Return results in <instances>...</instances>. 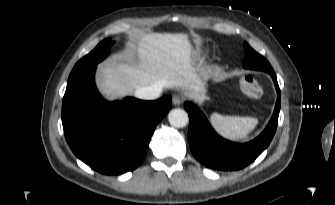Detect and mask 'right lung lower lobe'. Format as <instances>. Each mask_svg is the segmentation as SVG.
<instances>
[{"label": "right lung lower lobe", "instance_id": "obj_1", "mask_svg": "<svg viewBox=\"0 0 335 205\" xmlns=\"http://www.w3.org/2000/svg\"><path fill=\"white\" fill-rule=\"evenodd\" d=\"M96 65L69 77L62 102L64 135L73 153L107 175L134 170L144 159L151 135L171 108L172 98H125L108 102L94 83Z\"/></svg>", "mask_w": 335, "mask_h": 205}]
</instances>
